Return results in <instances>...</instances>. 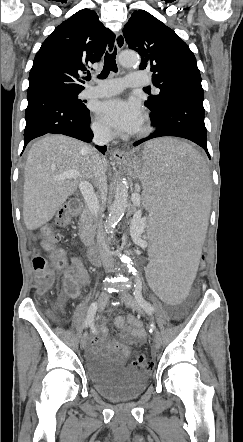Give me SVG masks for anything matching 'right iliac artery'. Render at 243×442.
I'll use <instances>...</instances> for the list:
<instances>
[{
  "label": "right iliac artery",
  "mask_w": 243,
  "mask_h": 442,
  "mask_svg": "<svg viewBox=\"0 0 243 442\" xmlns=\"http://www.w3.org/2000/svg\"><path fill=\"white\" fill-rule=\"evenodd\" d=\"M97 310V303L94 302L90 305L88 312H87V317L85 320V327H88V325H92L93 321H94V316Z\"/></svg>",
  "instance_id": "obj_1"
}]
</instances>
